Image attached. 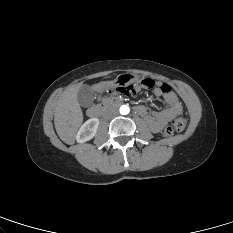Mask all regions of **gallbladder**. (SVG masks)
Returning a JSON list of instances; mask_svg holds the SVG:
<instances>
[{
	"instance_id": "1",
	"label": "gallbladder",
	"mask_w": 233,
	"mask_h": 233,
	"mask_svg": "<svg viewBox=\"0 0 233 233\" xmlns=\"http://www.w3.org/2000/svg\"><path fill=\"white\" fill-rule=\"evenodd\" d=\"M78 103L82 107H89L94 101V92L88 85H82L77 92Z\"/></svg>"
}]
</instances>
